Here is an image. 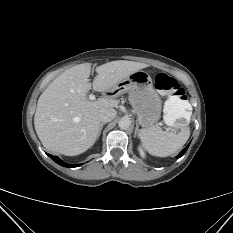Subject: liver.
<instances>
[{"instance_id":"obj_1","label":"liver","mask_w":233,"mask_h":233,"mask_svg":"<svg viewBox=\"0 0 233 233\" xmlns=\"http://www.w3.org/2000/svg\"><path fill=\"white\" fill-rule=\"evenodd\" d=\"M147 64L118 60L96 67L90 83L91 63L76 65L56 77L40 95L34 126L43 146L67 156L79 155L95 143L100 129V110L114 108L119 101L110 97L90 101L88 91H111L131 73Z\"/></svg>"}]
</instances>
